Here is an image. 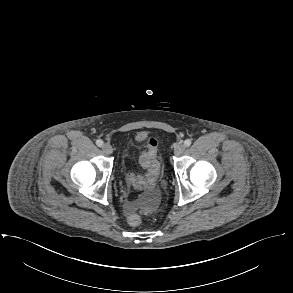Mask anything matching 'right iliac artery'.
<instances>
[{"label":"right iliac artery","mask_w":293,"mask_h":293,"mask_svg":"<svg viewBox=\"0 0 293 293\" xmlns=\"http://www.w3.org/2000/svg\"><path fill=\"white\" fill-rule=\"evenodd\" d=\"M97 146L101 147L103 145V141L101 139H98L96 141Z\"/></svg>","instance_id":"right-iliac-artery-1"}]
</instances>
